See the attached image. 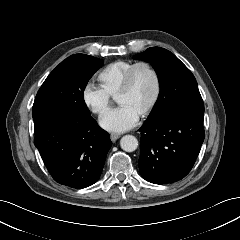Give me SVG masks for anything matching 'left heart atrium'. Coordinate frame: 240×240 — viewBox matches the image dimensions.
I'll return each instance as SVG.
<instances>
[{
	"mask_svg": "<svg viewBox=\"0 0 240 240\" xmlns=\"http://www.w3.org/2000/svg\"><path fill=\"white\" fill-rule=\"evenodd\" d=\"M139 115L127 106L120 105L119 107L107 112L100 120V125L103 129L121 133L134 127L138 121Z\"/></svg>",
	"mask_w": 240,
	"mask_h": 240,
	"instance_id": "left-heart-atrium-1",
	"label": "left heart atrium"
}]
</instances>
